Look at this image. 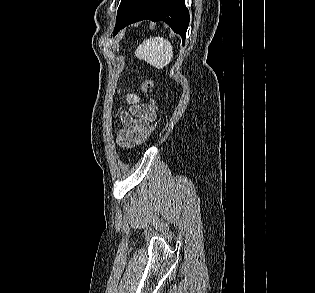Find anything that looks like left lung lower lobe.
Wrapping results in <instances>:
<instances>
[{
  "instance_id": "1",
  "label": "left lung lower lobe",
  "mask_w": 315,
  "mask_h": 293,
  "mask_svg": "<svg viewBox=\"0 0 315 293\" xmlns=\"http://www.w3.org/2000/svg\"><path fill=\"white\" fill-rule=\"evenodd\" d=\"M144 19L164 21L174 32L182 36L184 42L189 25V12L184 0H139L118 22L114 34L120 28Z\"/></svg>"
}]
</instances>
